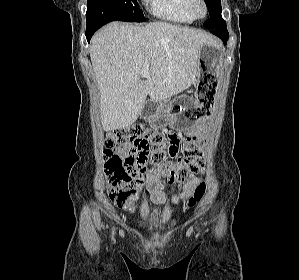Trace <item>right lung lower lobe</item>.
Listing matches in <instances>:
<instances>
[{
    "mask_svg": "<svg viewBox=\"0 0 299 280\" xmlns=\"http://www.w3.org/2000/svg\"><path fill=\"white\" fill-rule=\"evenodd\" d=\"M116 20L133 22L126 14L107 2L102 0L88 1L86 12V38L88 43L101 26Z\"/></svg>",
    "mask_w": 299,
    "mask_h": 280,
    "instance_id": "right-lung-lower-lobe-1",
    "label": "right lung lower lobe"
}]
</instances>
